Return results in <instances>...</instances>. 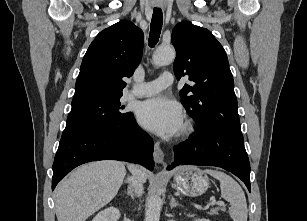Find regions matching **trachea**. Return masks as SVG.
Wrapping results in <instances>:
<instances>
[{"label": "trachea", "instance_id": "trachea-1", "mask_svg": "<svg viewBox=\"0 0 307 221\" xmlns=\"http://www.w3.org/2000/svg\"><path fill=\"white\" fill-rule=\"evenodd\" d=\"M162 24H163L162 10L155 8L152 15L150 35H149V46L151 48L154 47L159 40Z\"/></svg>", "mask_w": 307, "mask_h": 221}]
</instances>
